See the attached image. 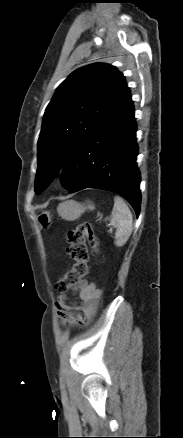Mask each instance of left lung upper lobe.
Returning a JSON list of instances; mask_svg holds the SVG:
<instances>
[{"label": "left lung upper lobe", "mask_w": 183, "mask_h": 438, "mask_svg": "<svg viewBox=\"0 0 183 438\" xmlns=\"http://www.w3.org/2000/svg\"><path fill=\"white\" fill-rule=\"evenodd\" d=\"M129 96L124 76L109 64L79 68L60 84L46 108L38 139L36 193Z\"/></svg>", "instance_id": "obj_1"}]
</instances>
